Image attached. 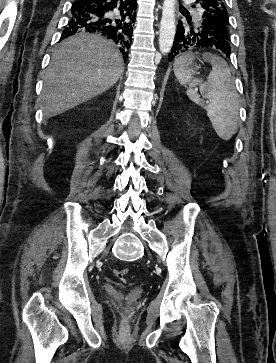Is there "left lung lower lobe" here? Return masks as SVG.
Here are the masks:
<instances>
[{
	"label": "left lung lower lobe",
	"instance_id": "1",
	"mask_svg": "<svg viewBox=\"0 0 276 363\" xmlns=\"http://www.w3.org/2000/svg\"><path fill=\"white\" fill-rule=\"evenodd\" d=\"M187 20L190 25L188 28H184L183 22H178L173 48L168 55L169 62H172L178 55L197 47H216L227 57L230 56V45L217 36L209 22L202 20L201 22L190 23V19L187 18Z\"/></svg>",
	"mask_w": 276,
	"mask_h": 363
}]
</instances>
